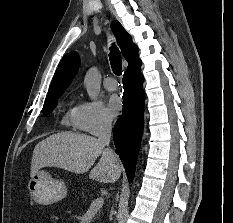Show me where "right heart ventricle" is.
Instances as JSON below:
<instances>
[{
	"label": "right heart ventricle",
	"instance_id": "obj_1",
	"mask_svg": "<svg viewBox=\"0 0 233 223\" xmlns=\"http://www.w3.org/2000/svg\"><path fill=\"white\" fill-rule=\"evenodd\" d=\"M78 106H70L60 116V126L64 128L77 129Z\"/></svg>",
	"mask_w": 233,
	"mask_h": 223
}]
</instances>
